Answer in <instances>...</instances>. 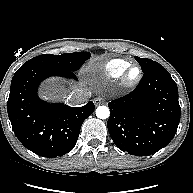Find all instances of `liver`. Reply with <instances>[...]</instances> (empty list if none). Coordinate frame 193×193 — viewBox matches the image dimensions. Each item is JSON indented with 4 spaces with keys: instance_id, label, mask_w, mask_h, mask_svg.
Listing matches in <instances>:
<instances>
[{
    "instance_id": "liver-1",
    "label": "liver",
    "mask_w": 193,
    "mask_h": 193,
    "mask_svg": "<svg viewBox=\"0 0 193 193\" xmlns=\"http://www.w3.org/2000/svg\"><path fill=\"white\" fill-rule=\"evenodd\" d=\"M84 84L85 83H79V85H70L68 88H66L63 81L57 78H51L41 85L39 95L44 100L57 101L66 98L77 89H82L91 94L90 90L83 87Z\"/></svg>"
}]
</instances>
